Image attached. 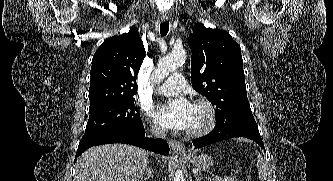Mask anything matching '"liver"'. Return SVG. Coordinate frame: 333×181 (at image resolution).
Returning <instances> with one entry per match:
<instances>
[{
	"instance_id": "obj_1",
	"label": "liver",
	"mask_w": 333,
	"mask_h": 181,
	"mask_svg": "<svg viewBox=\"0 0 333 181\" xmlns=\"http://www.w3.org/2000/svg\"><path fill=\"white\" fill-rule=\"evenodd\" d=\"M149 152L126 144H106L85 151L77 160V181H142Z\"/></svg>"
}]
</instances>
